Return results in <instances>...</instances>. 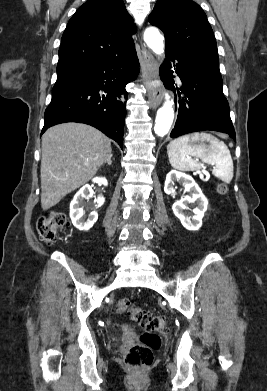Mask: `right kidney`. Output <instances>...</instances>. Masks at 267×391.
I'll return each mask as SVG.
<instances>
[{
	"instance_id": "obj_1",
	"label": "right kidney",
	"mask_w": 267,
	"mask_h": 391,
	"mask_svg": "<svg viewBox=\"0 0 267 391\" xmlns=\"http://www.w3.org/2000/svg\"><path fill=\"white\" fill-rule=\"evenodd\" d=\"M94 183H97L99 185H108V181L105 178H99L96 177L93 179ZM93 195V190L90 185L83 186L74 196L73 200L70 203V218L72 220L73 225L78 228L80 231H88L94 223L98 219V214L96 211H92L89 214V217L87 220L83 219L84 211H83V200L86 197H90ZM95 208L101 207L104 202L105 198L103 196H99L95 200Z\"/></svg>"
}]
</instances>
